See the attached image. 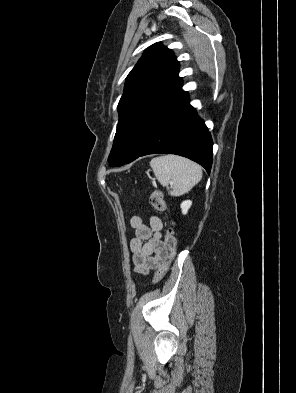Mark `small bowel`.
I'll return each instance as SVG.
<instances>
[{
	"label": "small bowel",
	"instance_id": "small-bowel-1",
	"mask_svg": "<svg viewBox=\"0 0 296 393\" xmlns=\"http://www.w3.org/2000/svg\"><path fill=\"white\" fill-rule=\"evenodd\" d=\"M130 225L135 230V237L130 241L134 270L146 275L167 257L162 241L163 222L157 215H152L147 225L141 217L132 216Z\"/></svg>",
	"mask_w": 296,
	"mask_h": 393
}]
</instances>
